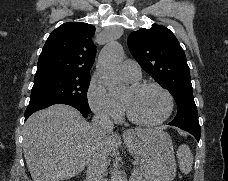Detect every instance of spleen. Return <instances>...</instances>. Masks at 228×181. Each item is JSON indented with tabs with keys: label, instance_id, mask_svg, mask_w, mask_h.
Listing matches in <instances>:
<instances>
[{
	"label": "spleen",
	"instance_id": "1",
	"mask_svg": "<svg viewBox=\"0 0 228 181\" xmlns=\"http://www.w3.org/2000/svg\"><path fill=\"white\" fill-rule=\"evenodd\" d=\"M177 159L181 173L188 175L193 167V155L188 145H181L177 151Z\"/></svg>",
	"mask_w": 228,
	"mask_h": 181
}]
</instances>
